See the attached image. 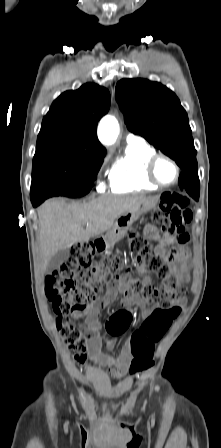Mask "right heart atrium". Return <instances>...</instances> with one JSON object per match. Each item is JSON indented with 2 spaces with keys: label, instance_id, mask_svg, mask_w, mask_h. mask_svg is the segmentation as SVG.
<instances>
[{
  "label": "right heart atrium",
  "instance_id": "right-heart-atrium-1",
  "mask_svg": "<svg viewBox=\"0 0 221 448\" xmlns=\"http://www.w3.org/2000/svg\"><path fill=\"white\" fill-rule=\"evenodd\" d=\"M104 188V181L102 179L98 180V189L102 190Z\"/></svg>",
  "mask_w": 221,
  "mask_h": 448
}]
</instances>
